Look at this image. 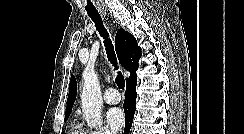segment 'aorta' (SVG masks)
Segmentation results:
<instances>
[{"instance_id": "1", "label": "aorta", "mask_w": 244, "mask_h": 134, "mask_svg": "<svg viewBox=\"0 0 244 134\" xmlns=\"http://www.w3.org/2000/svg\"><path fill=\"white\" fill-rule=\"evenodd\" d=\"M83 90L81 94L83 118L90 127L101 126L102 94L97 73L86 69L83 72Z\"/></svg>"}]
</instances>
